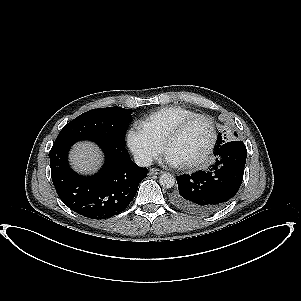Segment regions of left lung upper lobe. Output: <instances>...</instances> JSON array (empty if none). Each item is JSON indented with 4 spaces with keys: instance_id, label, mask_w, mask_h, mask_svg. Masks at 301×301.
<instances>
[{
    "instance_id": "5c2ea615",
    "label": "left lung upper lobe",
    "mask_w": 301,
    "mask_h": 301,
    "mask_svg": "<svg viewBox=\"0 0 301 301\" xmlns=\"http://www.w3.org/2000/svg\"><path fill=\"white\" fill-rule=\"evenodd\" d=\"M224 143V140L222 139L221 134L219 133L218 142L216 145V148L220 147Z\"/></svg>"
}]
</instances>
